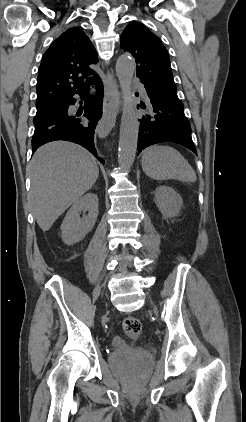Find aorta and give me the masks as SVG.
<instances>
[{
	"label": "aorta",
	"mask_w": 246,
	"mask_h": 422,
	"mask_svg": "<svg viewBox=\"0 0 246 422\" xmlns=\"http://www.w3.org/2000/svg\"><path fill=\"white\" fill-rule=\"evenodd\" d=\"M135 68V61L130 55L124 54L117 59L116 74L123 97L118 163L124 170L130 169L134 163L138 143L139 121L132 91Z\"/></svg>",
	"instance_id": "1"
}]
</instances>
